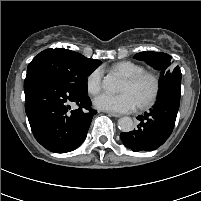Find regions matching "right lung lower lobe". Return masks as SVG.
<instances>
[{
	"label": "right lung lower lobe",
	"mask_w": 201,
	"mask_h": 201,
	"mask_svg": "<svg viewBox=\"0 0 201 201\" xmlns=\"http://www.w3.org/2000/svg\"><path fill=\"white\" fill-rule=\"evenodd\" d=\"M25 110L36 140L55 153L70 152L86 138L93 116L87 95L75 92L50 72L28 73L24 82ZM78 108L70 111V105Z\"/></svg>",
	"instance_id": "1"
}]
</instances>
